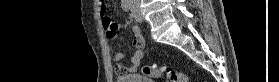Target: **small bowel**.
<instances>
[{
	"mask_svg": "<svg viewBox=\"0 0 279 82\" xmlns=\"http://www.w3.org/2000/svg\"><path fill=\"white\" fill-rule=\"evenodd\" d=\"M99 6H104V1H99ZM104 29L106 31V37L108 39H114L117 34V30L119 29V24L112 22L109 25L103 24ZM132 31V41L136 48L135 52L133 53L131 57V62L129 65L122 64L121 61L123 59V53L122 52H116L114 54V60L117 62V65L114 69L115 74L117 75H124L127 73L134 72L141 64V61L144 57V48H145V40L144 37L141 34V30L139 26L135 25L131 28Z\"/></svg>",
	"mask_w": 279,
	"mask_h": 82,
	"instance_id": "1",
	"label": "small bowel"
}]
</instances>
